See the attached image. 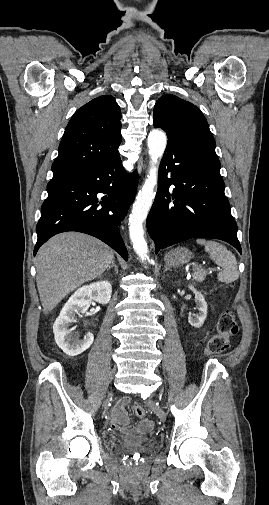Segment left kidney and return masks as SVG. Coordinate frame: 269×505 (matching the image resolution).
<instances>
[{"instance_id": "left-kidney-1", "label": "left kidney", "mask_w": 269, "mask_h": 505, "mask_svg": "<svg viewBox=\"0 0 269 505\" xmlns=\"http://www.w3.org/2000/svg\"><path fill=\"white\" fill-rule=\"evenodd\" d=\"M188 288L194 292L195 294V302L197 305V309L199 311L198 314H193V316L188 317V322L191 326L195 328H200L206 317H207V302L205 301L204 295L197 291L193 285H189Z\"/></svg>"}]
</instances>
